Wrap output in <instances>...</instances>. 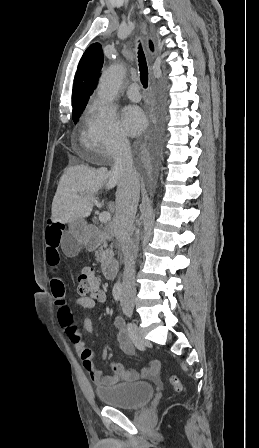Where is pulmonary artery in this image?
Returning <instances> with one entry per match:
<instances>
[{"label": "pulmonary artery", "instance_id": "e3ab8cb5", "mask_svg": "<svg viewBox=\"0 0 259 448\" xmlns=\"http://www.w3.org/2000/svg\"><path fill=\"white\" fill-rule=\"evenodd\" d=\"M139 88L137 83H132L129 85L127 89V96L130 98V100L137 102L141 99V95L137 92H135Z\"/></svg>", "mask_w": 259, "mask_h": 448}]
</instances>
